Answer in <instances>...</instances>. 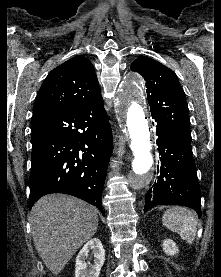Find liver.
<instances>
[{"label":"liver","mask_w":221,"mask_h":277,"mask_svg":"<svg viewBox=\"0 0 221 277\" xmlns=\"http://www.w3.org/2000/svg\"><path fill=\"white\" fill-rule=\"evenodd\" d=\"M34 245L46 267L58 275L98 227L97 210L67 195L39 199L30 213Z\"/></svg>","instance_id":"obj_1"}]
</instances>
